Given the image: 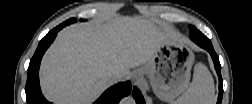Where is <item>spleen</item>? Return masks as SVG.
I'll return each mask as SVG.
<instances>
[{
	"mask_svg": "<svg viewBox=\"0 0 252 104\" xmlns=\"http://www.w3.org/2000/svg\"><path fill=\"white\" fill-rule=\"evenodd\" d=\"M215 102L214 80L208 68L198 63L193 80L186 91L175 101L177 104H212Z\"/></svg>",
	"mask_w": 252,
	"mask_h": 104,
	"instance_id": "obj_1",
	"label": "spleen"
}]
</instances>
